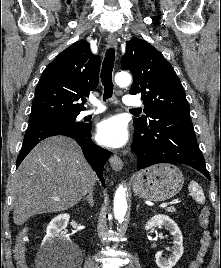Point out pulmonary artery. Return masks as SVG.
Instances as JSON below:
<instances>
[{"label":"pulmonary artery","mask_w":221,"mask_h":268,"mask_svg":"<svg viewBox=\"0 0 221 268\" xmlns=\"http://www.w3.org/2000/svg\"><path fill=\"white\" fill-rule=\"evenodd\" d=\"M91 103L94 105L95 108L89 109L86 111L81 112V117H87V116H96L105 111V106L101 104L100 101L93 99L91 100ZM124 103L129 107H140L142 106V102L139 98L127 95L124 97Z\"/></svg>","instance_id":"pulmonary-artery-1"}]
</instances>
